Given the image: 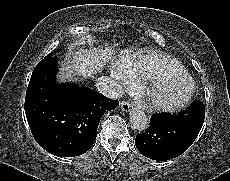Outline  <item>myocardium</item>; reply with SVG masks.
I'll use <instances>...</instances> for the list:
<instances>
[{
    "mask_svg": "<svg viewBox=\"0 0 230 181\" xmlns=\"http://www.w3.org/2000/svg\"><path fill=\"white\" fill-rule=\"evenodd\" d=\"M178 78L184 79L188 84V89L181 98L175 101H163L156 97L159 88L168 81ZM195 90V81L185 69L174 73H160L143 82L139 87V92L145 97L149 107L157 112L164 113H173L183 109L191 101Z\"/></svg>",
    "mask_w": 230,
    "mask_h": 181,
    "instance_id": "1",
    "label": "myocardium"
}]
</instances>
